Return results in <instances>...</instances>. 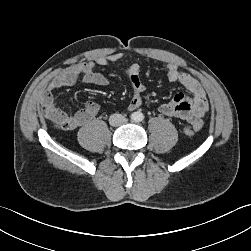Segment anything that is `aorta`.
<instances>
[{"instance_id": "aorta-1", "label": "aorta", "mask_w": 251, "mask_h": 251, "mask_svg": "<svg viewBox=\"0 0 251 251\" xmlns=\"http://www.w3.org/2000/svg\"><path fill=\"white\" fill-rule=\"evenodd\" d=\"M132 118L136 122H141L144 119V115L141 112H135Z\"/></svg>"}]
</instances>
